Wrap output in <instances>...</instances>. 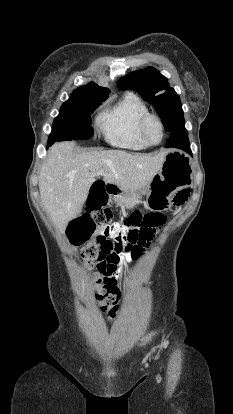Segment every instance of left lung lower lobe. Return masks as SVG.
Listing matches in <instances>:
<instances>
[{
    "instance_id": "left-lung-lower-lobe-1",
    "label": "left lung lower lobe",
    "mask_w": 233,
    "mask_h": 414,
    "mask_svg": "<svg viewBox=\"0 0 233 414\" xmlns=\"http://www.w3.org/2000/svg\"><path fill=\"white\" fill-rule=\"evenodd\" d=\"M166 147L180 148L191 154L190 145L188 141V133L185 129V122L182 119L172 128V133L167 141Z\"/></svg>"
}]
</instances>
